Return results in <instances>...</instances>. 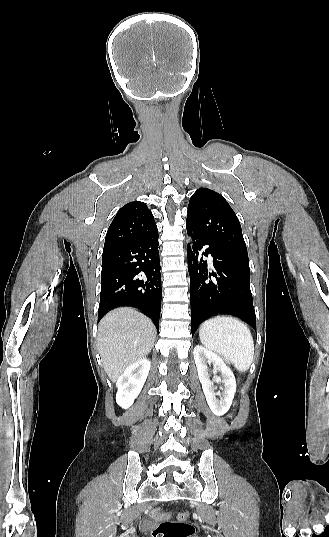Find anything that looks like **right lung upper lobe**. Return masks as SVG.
<instances>
[{
	"mask_svg": "<svg viewBox=\"0 0 329 537\" xmlns=\"http://www.w3.org/2000/svg\"><path fill=\"white\" fill-rule=\"evenodd\" d=\"M157 230L154 217L143 202H130L116 214L105 238L104 250L128 245Z\"/></svg>",
	"mask_w": 329,
	"mask_h": 537,
	"instance_id": "cb5924a9",
	"label": "right lung upper lobe"
}]
</instances>
